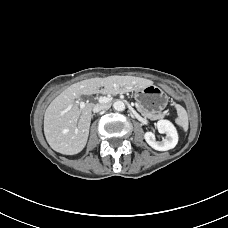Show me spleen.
Returning a JSON list of instances; mask_svg holds the SVG:
<instances>
[{
  "instance_id": "3e777b00",
  "label": "spleen",
  "mask_w": 228,
  "mask_h": 228,
  "mask_svg": "<svg viewBox=\"0 0 228 228\" xmlns=\"http://www.w3.org/2000/svg\"><path fill=\"white\" fill-rule=\"evenodd\" d=\"M175 108L177 110V115H178V117L175 120L176 124L182 127L184 131H187L189 123H188V115L186 110L179 104H176Z\"/></svg>"
}]
</instances>
